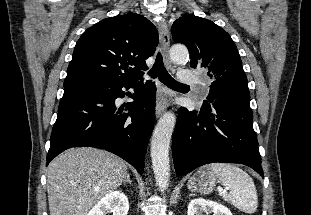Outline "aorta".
<instances>
[{"label":"aorta","mask_w":311,"mask_h":215,"mask_svg":"<svg viewBox=\"0 0 311 215\" xmlns=\"http://www.w3.org/2000/svg\"><path fill=\"white\" fill-rule=\"evenodd\" d=\"M189 57L188 49L183 45H174L170 49L173 62L182 63ZM176 117L166 112L155 126L151 139V160L156 183L161 191L167 189L170 177L169 145L174 131Z\"/></svg>","instance_id":"obj_1"}]
</instances>
